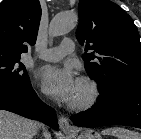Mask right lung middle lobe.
<instances>
[{
    "instance_id": "obj_1",
    "label": "right lung middle lobe",
    "mask_w": 141,
    "mask_h": 139,
    "mask_svg": "<svg viewBox=\"0 0 141 139\" xmlns=\"http://www.w3.org/2000/svg\"><path fill=\"white\" fill-rule=\"evenodd\" d=\"M30 83L20 57H0V87L13 88Z\"/></svg>"
}]
</instances>
